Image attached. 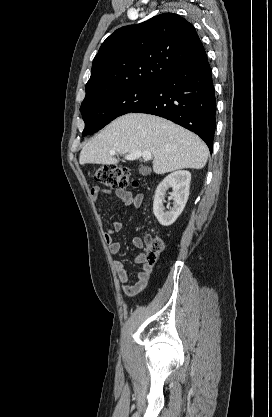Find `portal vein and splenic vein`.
Masks as SVG:
<instances>
[{
	"label": "portal vein and splenic vein",
	"instance_id": "portal-vein-and-splenic-vein-1",
	"mask_svg": "<svg viewBox=\"0 0 272 417\" xmlns=\"http://www.w3.org/2000/svg\"><path fill=\"white\" fill-rule=\"evenodd\" d=\"M110 154L115 155L116 152L114 150H111ZM140 157H142L144 160H150L152 158V155L148 151H143V152L137 151V152H134V153H131V154L125 156V158L127 160H135V159H138Z\"/></svg>",
	"mask_w": 272,
	"mask_h": 417
}]
</instances>
